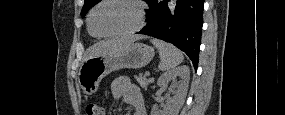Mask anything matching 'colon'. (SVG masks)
<instances>
[{
  "mask_svg": "<svg viewBox=\"0 0 285 115\" xmlns=\"http://www.w3.org/2000/svg\"><path fill=\"white\" fill-rule=\"evenodd\" d=\"M86 114L87 115H103L104 109L96 104H88L86 107Z\"/></svg>",
  "mask_w": 285,
  "mask_h": 115,
  "instance_id": "colon-1",
  "label": "colon"
}]
</instances>
